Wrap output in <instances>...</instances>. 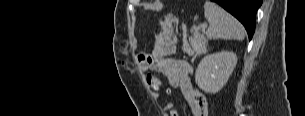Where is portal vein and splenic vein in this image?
<instances>
[{"label": "portal vein and splenic vein", "instance_id": "portal-vein-and-splenic-vein-1", "mask_svg": "<svg viewBox=\"0 0 305 116\" xmlns=\"http://www.w3.org/2000/svg\"><path fill=\"white\" fill-rule=\"evenodd\" d=\"M207 28V24L206 23H203V24H200L199 26H197V28H195V31L197 30H205Z\"/></svg>", "mask_w": 305, "mask_h": 116}]
</instances>
